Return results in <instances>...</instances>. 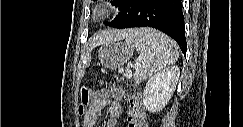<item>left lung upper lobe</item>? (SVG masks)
<instances>
[{
	"label": "left lung upper lobe",
	"instance_id": "obj_1",
	"mask_svg": "<svg viewBox=\"0 0 243 127\" xmlns=\"http://www.w3.org/2000/svg\"><path fill=\"white\" fill-rule=\"evenodd\" d=\"M126 0H113L112 4L116 6H121Z\"/></svg>",
	"mask_w": 243,
	"mask_h": 127
}]
</instances>
